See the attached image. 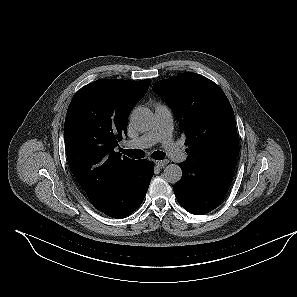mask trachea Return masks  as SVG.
Segmentation results:
<instances>
[{
  "mask_svg": "<svg viewBox=\"0 0 297 297\" xmlns=\"http://www.w3.org/2000/svg\"><path fill=\"white\" fill-rule=\"evenodd\" d=\"M121 152L130 158L140 159L145 157V152L141 149H121ZM151 157L156 160H163L165 158V153L162 151H155L152 153Z\"/></svg>",
  "mask_w": 297,
  "mask_h": 297,
  "instance_id": "obj_1",
  "label": "trachea"
}]
</instances>
